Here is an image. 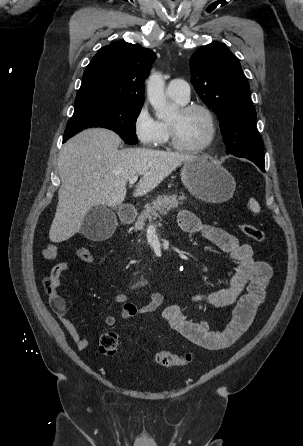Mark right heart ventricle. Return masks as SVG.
Returning <instances> with one entry per match:
<instances>
[{"mask_svg":"<svg viewBox=\"0 0 303 446\" xmlns=\"http://www.w3.org/2000/svg\"><path fill=\"white\" fill-rule=\"evenodd\" d=\"M171 98L178 105H183V104L186 103V101H182V100L174 98V97H171ZM160 124H161L162 130H163V138H162V140H161V142L159 144H162V143L166 142L167 139H168V128H167V123L166 122H160Z\"/></svg>","mask_w":303,"mask_h":446,"instance_id":"obj_1","label":"right heart ventricle"}]
</instances>
